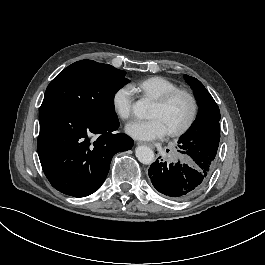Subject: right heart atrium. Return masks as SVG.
Listing matches in <instances>:
<instances>
[{"mask_svg":"<svg viewBox=\"0 0 265 265\" xmlns=\"http://www.w3.org/2000/svg\"><path fill=\"white\" fill-rule=\"evenodd\" d=\"M109 102L113 106L117 120L120 123H128L131 120V110L136 105V100L132 98L126 86H119L115 93L111 95Z\"/></svg>","mask_w":265,"mask_h":265,"instance_id":"1","label":"right heart atrium"}]
</instances>
